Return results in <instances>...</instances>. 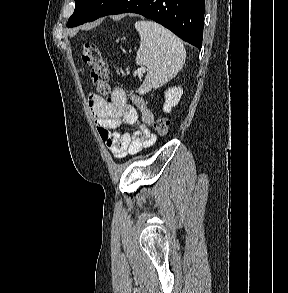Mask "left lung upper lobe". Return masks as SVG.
<instances>
[{
	"label": "left lung upper lobe",
	"mask_w": 288,
	"mask_h": 293,
	"mask_svg": "<svg viewBox=\"0 0 288 293\" xmlns=\"http://www.w3.org/2000/svg\"><path fill=\"white\" fill-rule=\"evenodd\" d=\"M116 0H75V10L67 26L74 27L99 18Z\"/></svg>",
	"instance_id": "1"
}]
</instances>
